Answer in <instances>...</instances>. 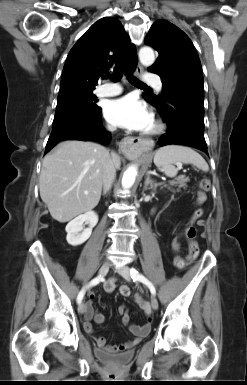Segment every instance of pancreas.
<instances>
[{"instance_id":"cf45deb5","label":"pancreas","mask_w":247,"mask_h":385,"mask_svg":"<svg viewBox=\"0 0 247 385\" xmlns=\"http://www.w3.org/2000/svg\"><path fill=\"white\" fill-rule=\"evenodd\" d=\"M188 181H189V178H187L185 175H180L174 180L170 181L169 184L170 186H178V188L180 189V188H186L187 187L186 183ZM164 187H167V185H165ZM168 189H170V187H168ZM179 189L177 191H179Z\"/></svg>"}]
</instances>
